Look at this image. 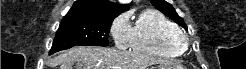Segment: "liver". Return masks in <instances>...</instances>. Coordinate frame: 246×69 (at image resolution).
Returning a JSON list of instances; mask_svg holds the SVG:
<instances>
[{
  "instance_id": "obj_1",
  "label": "liver",
  "mask_w": 246,
  "mask_h": 69,
  "mask_svg": "<svg viewBox=\"0 0 246 69\" xmlns=\"http://www.w3.org/2000/svg\"><path fill=\"white\" fill-rule=\"evenodd\" d=\"M60 69H72L77 62V69H145L151 64L169 63L148 55L103 47H76L55 58Z\"/></svg>"
}]
</instances>
